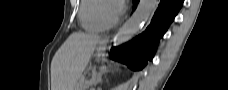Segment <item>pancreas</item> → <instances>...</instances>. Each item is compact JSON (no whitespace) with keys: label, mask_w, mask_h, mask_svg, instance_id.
Instances as JSON below:
<instances>
[{"label":"pancreas","mask_w":228,"mask_h":90,"mask_svg":"<svg viewBox=\"0 0 228 90\" xmlns=\"http://www.w3.org/2000/svg\"><path fill=\"white\" fill-rule=\"evenodd\" d=\"M88 80L84 78L80 79L79 82L76 84V90H87L88 88Z\"/></svg>","instance_id":"pancreas-1"}]
</instances>
